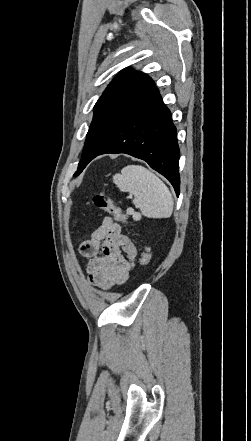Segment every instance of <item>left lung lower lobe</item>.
Masks as SVG:
<instances>
[{
    "instance_id": "1",
    "label": "left lung lower lobe",
    "mask_w": 251,
    "mask_h": 441,
    "mask_svg": "<svg viewBox=\"0 0 251 441\" xmlns=\"http://www.w3.org/2000/svg\"><path fill=\"white\" fill-rule=\"evenodd\" d=\"M106 153H125L146 161L180 191L176 128L156 87L139 98L125 115H105L90 125L83 166Z\"/></svg>"
}]
</instances>
